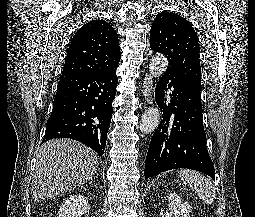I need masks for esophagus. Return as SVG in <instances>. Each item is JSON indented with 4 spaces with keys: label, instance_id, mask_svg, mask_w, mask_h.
Masks as SVG:
<instances>
[{
    "label": "esophagus",
    "instance_id": "1",
    "mask_svg": "<svg viewBox=\"0 0 255 217\" xmlns=\"http://www.w3.org/2000/svg\"><path fill=\"white\" fill-rule=\"evenodd\" d=\"M142 94L145 98V101L148 104L153 102V78L150 74H146L143 80Z\"/></svg>",
    "mask_w": 255,
    "mask_h": 217
}]
</instances>
